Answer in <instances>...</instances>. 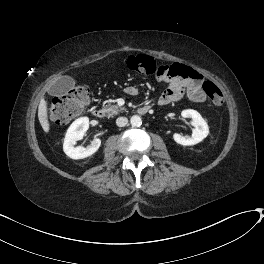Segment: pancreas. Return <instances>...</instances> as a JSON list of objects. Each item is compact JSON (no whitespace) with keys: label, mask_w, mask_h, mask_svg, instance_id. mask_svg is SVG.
<instances>
[{"label":"pancreas","mask_w":264,"mask_h":264,"mask_svg":"<svg viewBox=\"0 0 264 264\" xmlns=\"http://www.w3.org/2000/svg\"><path fill=\"white\" fill-rule=\"evenodd\" d=\"M102 111L108 116L113 117L114 115L119 114L124 111V108H119L117 105H106Z\"/></svg>","instance_id":"1"}]
</instances>
